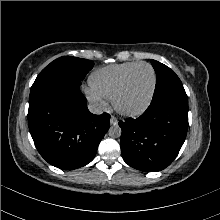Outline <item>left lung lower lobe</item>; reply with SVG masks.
<instances>
[{"label": "left lung lower lobe", "mask_w": 220, "mask_h": 220, "mask_svg": "<svg viewBox=\"0 0 220 220\" xmlns=\"http://www.w3.org/2000/svg\"><path fill=\"white\" fill-rule=\"evenodd\" d=\"M121 153L131 167L156 172L169 166L188 129V108L173 102L150 104L137 119L120 121Z\"/></svg>", "instance_id": "0a47b994"}]
</instances>
